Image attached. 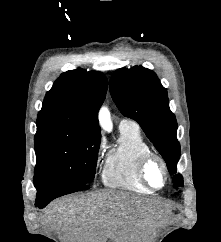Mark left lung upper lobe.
Segmentation results:
<instances>
[{
    "label": "left lung upper lobe",
    "instance_id": "left-lung-upper-lobe-1",
    "mask_svg": "<svg viewBox=\"0 0 221 242\" xmlns=\"http://www.w3.org/2000/svg\"><path fill=\"white\" fill-rule=\"evenodd\" d=\"M110 92L121 113L139 123L147 137L176 173L180 144L176 138L177 121L170 111L167 90L156 74L141 66L119 69L111 77ZM174 187L183 186V177H173Z\"/></svg>",
    "mask_w": 221,
    "mask_h": 242
}]
</instances>
